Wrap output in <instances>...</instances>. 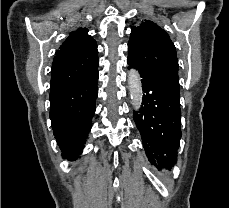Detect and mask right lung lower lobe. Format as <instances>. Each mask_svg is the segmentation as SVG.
I'll return each mask as SVG.
<instances>
[{"mask_svg":"<svg viewBox=\"0 0 229 208\" xmlns=\"http://www.w3.org/2000/svg\"><path fill=\"white\" fill-rule=\"evenodd\" d=\"M98 66L87 77L50 93V119L54 136L68 160L81 154L92 127L98 95Z\"/></svg>","mask_w":229,"mask_h":208,"instance_id":"98d812e1","label":"right lung lower lobe"}]
</instances>
